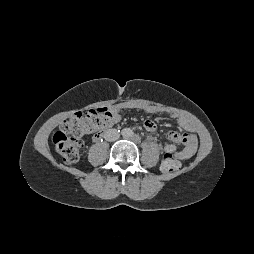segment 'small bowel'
<instances>
[{"label": "small bowel", "mask_w": 254, "mask_h": 254, "mask_svg": "<svg viewBox=\"0 0 254 254\" xmlns=\"http://www.w3.org/2000/svg\"><path fill=\"white\" fill-rule=\"evenodd\" d=\"M123 105H116L113 107L114 111V120L112 122V125L117 123L120 120V110L123 107H127ZM140 108L148 111V112H157V109L152 107H146V106H139ZM176 117V115H173ZM179 124L181 127H183L185 130L188 131V133L185 134H179L177 132H170L168 134V138L170 140L169 143L165 144L162 148L165 155H173L175 158L179 160H186L191 158L197 149V137L193 133L192 125L191 123L185 119V118H179ZM144 127L149 132H156L157 127L156 124L152 120H146L144 122ZM179 143H183V148L181 150H178Z\"/></svg>", "instance_id": "1"}]
</instances>
